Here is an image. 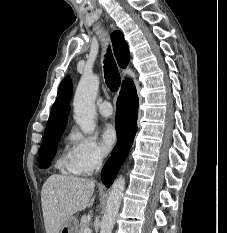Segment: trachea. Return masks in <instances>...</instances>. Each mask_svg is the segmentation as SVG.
Segmentation results:
<instances>
[{
	"mask_svg": "<svg viewBox=\"0 0 227 233\" xmlns=\"http://www.w3.org/2000/svg\"><path fill=\"white\" fill-rule=\"evenodd\" d=\"M104 78L107 87L112 92L119 90L121 77L110 47L104 60Z\"/></svg>",
	"mask_w": 227,
	"mask_h": 233,
	"instance_id": "obj_1",
	"label": "trachea"
}]
</instances>
